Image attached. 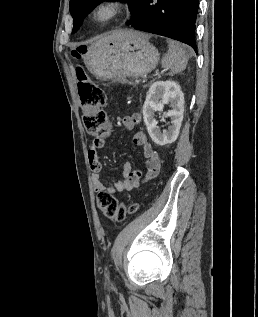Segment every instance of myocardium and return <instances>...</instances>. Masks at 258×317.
I'll return each mask as SVG.
<instances>
[{
  "label": "myocardium",
  "instance_id": "1",
  "mask_svg": "<svg viewBox=\"0 0 258 317\" xmlns=\"http://www.w3.org/2000/svg\"><path fill=\"white\" fill-rule=\"evenodd\" d=\"M126 10V5L117 0H100L92 11L94 21L97 23H107L119 17Z\"/></svg>",
  "mask_w": 258,
  "mask_h": 317
}]
</instances>
